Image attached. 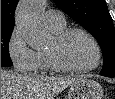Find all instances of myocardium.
I'll use <instances>...</instances> for the list:
<instances>
[{
    "instance_id": "1",
    "label": "myocardium",
    "mask_w": 115,
    "mask_h": 99,
    "mask_svg": "<svg viewBox=\"0 0 115 99\" xmlns=\"http://www.w3.org/2000/svg\"><path fill=\"white\" fill-rule=\"evenodd\" d=\"M74 33H80L84 35L88 40L92 43L95 51V60L94 62L86 67H72L63 64L56 53V48L71 34ZM54 46L51 49L46 50V56L48 59V62L53 70L60 71V72H66V73H87L90 71L95 70L101 62L102 59V51L100 48V45L97 41V39L86 29L80 28V27H71V28H65L61 32L55 34L54 38Z\"/></svg>"
}]
</instances>
